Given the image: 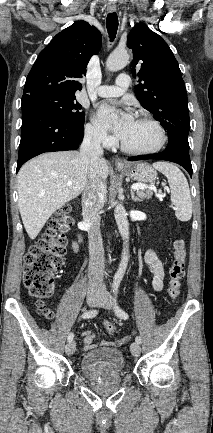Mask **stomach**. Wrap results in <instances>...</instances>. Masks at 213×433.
<instances>
[{
    "label": "stomach",
    "instance_id": "obj_1",
    "mask_svg": "<svg viewBox=\"0 0 213 433\" xmlns=\"http://www.w3.org/2000/svg\"><path fill=\"white\" fill-rule=\"evenodd\" d=\"M118 170L135 181L153 184L157 172L147 163H133L125 167H118Z\"/></svg>",
    "mask_w": 213,
    "mask_h": 433
}]
</instances>
